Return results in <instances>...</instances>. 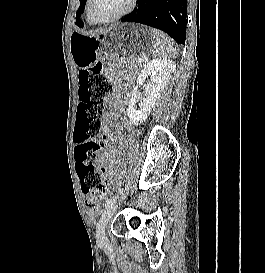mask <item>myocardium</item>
<instances>
[{"label":"myocardium","mask_w":265,"mask_h":273,"mask_svg":"<svg viewBox=\"0 0 265 273\" xmlns=\"http://www.w3.org/2000/svg\"><path fill=\"white\" fill-rule=\"evenodd\" d=\"M137 1L138 0H131L129 6L124 9L122 12L116 14L115 16H112L110 18L107 19H94L91 16V12H90V8H91V4H92V0H87V4H86V16L89 22L94 23V24H104V23H111L117 20L122 19L123 17L127 16L128 14H130L136 7L137 5Z\"/></svg>","instance_id":"myocardium-1"}]
</instances>
